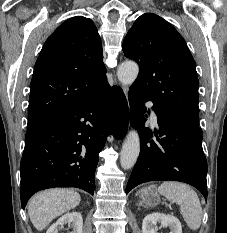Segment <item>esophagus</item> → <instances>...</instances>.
Returning <instances> with one entry per match:
<instances>
[{
	"instance_id": "esophagus-1",
	"label": "esophagus",
	"mask_w": 227,
	"mask_h": 233,
	"mask_svg": "<svg viewBox=\"0 0 227 233\" xmlns=\"http://www.w3.org/2000/svg\"><path fill=\"white\" fill-rule=\"evenodd\" d=\"M122 89H123V92L128 100V97H127L128 96V88L126 86H122Z\"/></svg>"
}]
</instances>
